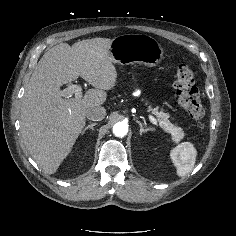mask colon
I'll return each mask as SVG.
<instances>
[{
  "label": "colon",
  "instance_id": "5ec220e1",
  "mask_svg": "<svg viewBox=\"0 0 236 236\" xmlns=\"http://www.w3.org/2000/svg\"><path fill=\"white\" fill-rule=\"evenodd\" d=\"M174 89L178 101L186 113L195 120L204 115L200 92L195 85L194 73L185 62H181L175 74Z\"/></svg>",
  "mask_w": 236,
  "mask_h": 236
}]
</instances>
